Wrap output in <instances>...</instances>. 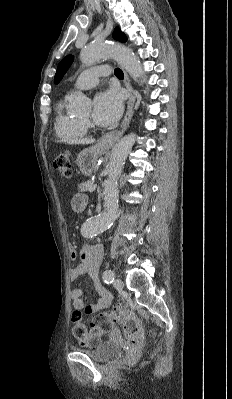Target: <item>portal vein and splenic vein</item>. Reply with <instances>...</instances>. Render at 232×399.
<instances>
[{"label":"portal vein and splenic vein","mask_w":232,"mask_h":399,"mask_svg":"<svg viewBox=\"0 0 232 399\" xmlns=\"http://www.w3.org/2000/svg\"><path fill=\"white\" fill-rule=\"evenodd\" d=\"M97 186L96 184H94V186H90L88 192H94V190H96Z\"/></svg>","instance_id":"18ae733b"}]
</instances>
